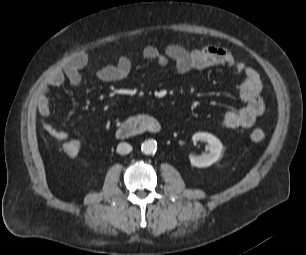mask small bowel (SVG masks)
<instances>
[{
  "mask_svg": "<svg viewBox=\"0 0 306 255\" xmlns=\"http://www.w3.org/2000/svg\"><path fill=\"white\" fill-rule=\"evenodd\" d=\"M142 56L156 62L160 66L174 63L177 72L181 75L193 70H204L213 67H232L244 75L239 89V96L243 106L227 111L220 120L223 128H249L264 113L265 104L262 98V85L255 69L238 61L226 48L214 45H205L196 49H186L177 44L170 43L163 50L154 45H147ZM88 56L79 53L73 56L62 68L51 73L36 96L37 110L42 117L50 114L49 97L55 88L68 81L73 87L81 84V70L87 65ZM132 61L126 55L118 57L115 64L106 65L95 72L98 80L103 82H117L125 79L131 73ZM44 131L56 140L63 141L68 138V132L55 128L48 122L43 123Z\"/></svg>",
  "mask_w": 306,
  "mask_h": 255,
  "instance_id": "small-bowel-1",
  "label": "small bowel"
}]
</instances>
